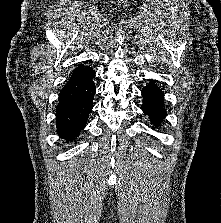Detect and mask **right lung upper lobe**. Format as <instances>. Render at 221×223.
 <instances>
[{
  "instance_id": "right-lung-upper-lobe-1",
  "label": "right lung upper lobe",
  "mask_w": 221,
  "mask_h": 223,
  "mask_svg": "<svg viewBox=\"0 0 221 223\" xmlns=\"http://www.w3.org/2000/svg\"><path fill=\"white\" fill-rule=\"evenodd\" d=\"M86 68H87V66L79 65V66L74 70L72 76L75 75V74H77V73H79L80 71H82V70H84V69H86Z\"/></svg>"
}]
</instances>
